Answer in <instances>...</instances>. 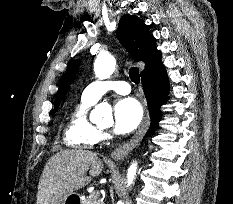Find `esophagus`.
I'll use <instances>...</instances> for the list:
<instances>
[{
  "label": "esophagus",
  "mask_w": 233,
  "mask_h": 204,
  "mask_svg": "<svg viewBox=\"0 0 233 204\" xmlns=\"http://www.w3.org/2000/svg\"><path fill=\"white\" fill-rule=\"evenodd\" d=\"M149 124H150V119L147 112L136 134L129 141L124 143L122 146L116 148L111 154L112 158L115 160H120L123 159L126 155H128V153L132 151L142 140L144 134L146 133L149 127Z\"/></svg>",
  "instance_id": "1"
}]
</instances>
